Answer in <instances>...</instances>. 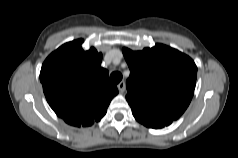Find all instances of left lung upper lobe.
Wrapping results in <instances>:
<instances>
[{"label":"left lung upper lobe","mask_w":238,"mask_h":158,"mask_svg":"<svg viewBox=\"0 0 238 158\" xmlns=\"http://www.w3.org/2000/svg\"><path fill=\"white\" fill-rule=\"evenodd\" d=\"M131 71L126 100L134 116L176 120L194 93L197 67L187 55L163 44L142 51L123 48Z\"/></svg>","instance_id":"obj_1"}]
</instances>
